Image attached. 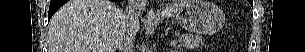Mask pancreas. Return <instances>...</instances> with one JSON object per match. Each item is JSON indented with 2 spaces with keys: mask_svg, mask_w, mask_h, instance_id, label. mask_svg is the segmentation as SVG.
Instances as JSON below:
<instances>
[{
  "mask_svg": "<svg viewBox=\"0 0 305 52\" xmlns=\"http://www.w3.org/2000/svg\"><path fill=\"white\" fill-rule=\"evenodd\" d=\"M178 47L185 48H198L199 45H203V39L201 36L193 35V34H183L178 39Z\"/></svg>",
  "mask_w": 305,
  "mask_h": 52,
  "instance_id": "obj_1",
  "label": "pancreas"
}]
</instances>
